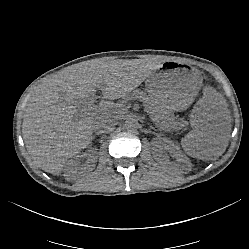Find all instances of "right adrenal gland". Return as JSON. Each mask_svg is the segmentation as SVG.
I'll list each match as a JSON object with an SVG mask.
<instances>
[{"mask_svg": "<svg viewBox=\"0 0 249 249\" xmlns=\"http://www.w3.org/2000/svg\"><path fill=\"white\" fill-rule=\"evenodd\" d=\"M96 135H99V133H96ZM96 135L92 136V140H94L96 138Z\"/></svg>", "mask_w": 249, "mask_h": 249, "instance_id": "1", "label": "right adrenal gland"}]
</instances>
